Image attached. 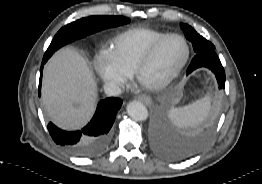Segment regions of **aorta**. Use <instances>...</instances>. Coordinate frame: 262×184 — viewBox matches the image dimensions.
I'll use <instances>...</instances> for the list:
<instances>
[{"label": "aorta", "mask_w": 262, "mask_h": 184, "mask_svg": "<svg viewBox=\"0 0 262 184\" xmlns=\"http://www.w3.org/2000/svg\"><path fill=\"white\" fill-rule=\"evenodd\" d=\"M128 115L135 121H145L148 117L146 106L139 101H131L127 105Z\"/></svg>", "instance_id": "aorta-1"}]
</instances>
